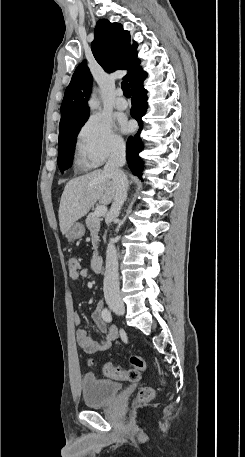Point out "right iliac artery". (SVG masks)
Returning a JSON list of instances; mask_svg holds the SVG:
<instances>
[{
	"mask_svg": "<svg viewBox=\"0 0 245 457\" xmlns=\"http://www.w3.org/2000/svg\"><path fill=\"white\" fill-rule=\"evenodd\" d=\"M102 317L103 319L106 321V322H111L112 321V316H111V312L109 309L107 308H104L103 311H102Z\"/></svg>",
	"mask_w": 245,
	"mask_h": 457,
	"instance_id": "82829eb1",
	"label": "right iliac artery"
}]
</instances>
